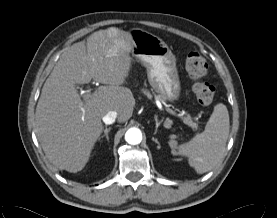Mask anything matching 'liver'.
Masks as SVG:
<instances>
[{
    "label": "liver",
    "mask_w": 277,
    "mask_h": 218,
    "mask_svg": "<svg viewBox=\"0 0 277 218\" xmlns=\"http://www.w3.org/2000/svg\"><path fill=\"white\" fill-rule=\"evenodd\" d=\"M132 48L131 34L111 27L73 44L55 64L36 107L35 132L57 168L76 173L85 167L109 111L120 123L132 116L134 96L121 86L132 67ZM92 79L104 86L82 100L76 85Z\"/></svg>",
    "instance_id": "obj_1"
}]
</instances>
